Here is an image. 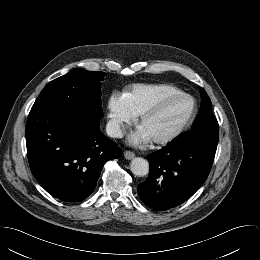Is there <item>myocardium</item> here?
<instances>
[{
	"mask_svg": "<svg viewBox=\"0 0 260 260\" xmlns=\"http://www.w3.org/2000/svg\"><path fill=\"white\" fill-rule=\"evenodd\" d=\"M175 98H186L190 101L191 106L189 109L188 114L183 119V121L173 130L169 131L168 133H165L161 136L152 137V141L156 144H166L169 143L176 138H178L192 123L196 113H197V103L196 100L188 93L179 91L176 93L169 94L167 96H164L157 100L154 104H152L150 107H148L146 110H144L140 114L139 123L142 126V124L152 115L156 114L165 104L170 102L171 100Z\"/></svg>",
	"mask_w": 260,
	"mask_h": 260,
	"instance_id": "f54148a6",
	"label": "myocardium"
}]
</instances>
